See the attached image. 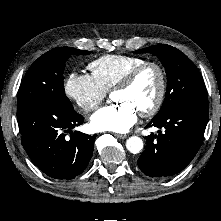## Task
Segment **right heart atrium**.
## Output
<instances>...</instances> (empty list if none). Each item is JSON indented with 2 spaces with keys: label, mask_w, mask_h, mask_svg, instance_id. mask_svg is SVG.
<instances>
[{
  "label": "right heart atrium",
  "mask_w": 221,
  "mask_h": 221,
  "mask_svg": "<svg viewBox=\"0 0 221 221\" xmlns=\"http://www.w3.org/2000/svg\"><path fill=\"white\" fill-rule=\"evenodd\" d=\"M64 91L86 113L95 110L107 95V91L91 74L77 72L68 75Z\"/></svg>",
  "instance_id": "obj_1"
}]
</instances>
